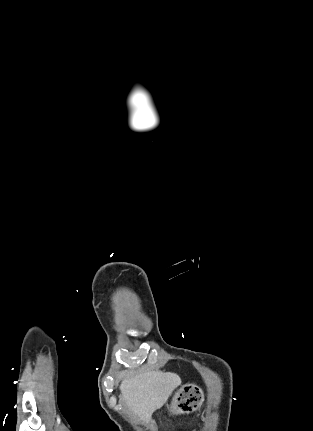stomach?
<instances>
[{
  "label": "stomach",
  "mask_w": 313,
  "mask_h": 431,
  "mask_svg": "<svg viewBox=\"0 0 313 431\" xmlns=\"http://www.w3.org/2000/svg\"><path fill=\"white\" fill-rule=\"evenodd\" d=\"M204 394L202 389L192 383L182 385L174 394L171 410L174 413L189 414L202 404Z\"/></svg>",
  "instance_id": "stomach-1"
}]
</instances>
